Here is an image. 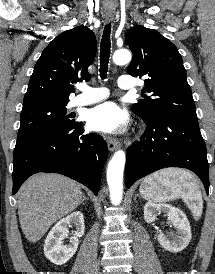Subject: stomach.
Returning <instances> with one entry per match:
<instances>
[{"label": "stomach", "instance_id": "0dacf381", "mask_svg": "<svg viewBox=\"0 0 215 274\" xmlns=\"http://www.w3.org/2000/svg\"><path fill=\"white\" fill-rule=\"evenodd\" d=\"M140 193L145 199H147L146 194L143 192V188H140Z\"/></svg>", "mask_w": 215, "mask_h": 274}]
</instances>
